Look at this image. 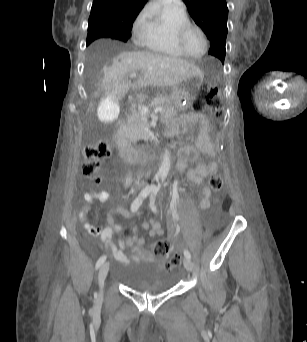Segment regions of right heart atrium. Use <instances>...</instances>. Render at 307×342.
I'll use <instances>...</instances> for the list:
<instances>
[{"label":"right heart atrium","mask_w":307,"mask_h":342,"mask_svg":"<svg viewBox=\"0 0 307 342\" xmlns=\"http://www.w3.org/2000/svg\"><path fill=\"white\" fill-rule=\"evenodd\" d=\"M152 33L148 29L145 18L142 14L138 15L130 24L129 36L132 41H137L151 36Z\"/></svg>","instance_id":"right-heart-atrium-1"}]
</instances>
